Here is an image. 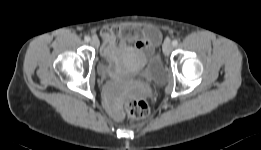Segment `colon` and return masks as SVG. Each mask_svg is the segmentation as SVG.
Instances as JSON below:
<instances>
[{
  "label": "colon",
  "instance_id": "5ec220e1",
  "mask_svg": "<svg viewBox=\"0 0 261 150\" xmlns=\"http://www.w3.org/2000/svg\"><path fill=\"white\" fill-rule=\"evenodd\" d=\"M125 110L130 117L141 119L149 114L147 102L137 96H129L125 101Z\"/></svg>",
  "mask_w": 261,
  "mask_h": 150
}]
</instances>
